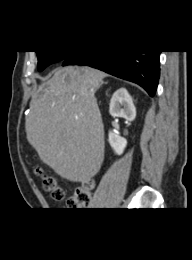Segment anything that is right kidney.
<instances>
[{"label": "right kidney", "instance_id": "1", "mask_svg": "<svg viewBox=\"0 0 192 260\" xmlns=\"http://www.w3.org/2000/svg\"><path fill=\"white\" fill-rule=\"evenodd\" d=\"M109 113L113 117H122L131 122L136 117V108L133 100L125 88L118 89L112 96ZM109 143L117 155H121L127 145L125 138L109 131Z\"/></svg>", "mask_w": 192, "mask_h": 260}]
</instances>
